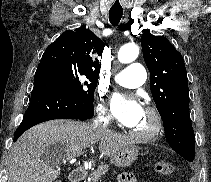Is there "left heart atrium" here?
<instances>
[{
    "label": "left heart atrium",
    "instance_id": "1",
    "mask_svg": "<svg viewBox=\"0 0 211 182\" xmlns=\"http://www.w3.org/2000/svg\"><path fill=\"white\" fill-rule=\"evenodd\" d=\"M111 107L114 116L127 127L134 126L144 111L136 99L121 94L112 96Z\"/></svg>",
    "mask_w": 211,
    "mask_h": 182
}]
</instances>
